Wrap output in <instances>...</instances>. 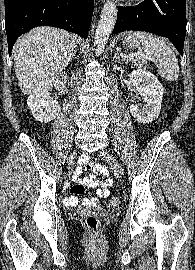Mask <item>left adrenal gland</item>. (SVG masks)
Returning <instances> with one entry per match:
<instances>
[{
  "label": "left adrenal gland",
  "mask_w": 195,
  "mask_h": 270,
  "mask_svg": "<svg viewBox=\"0 0 195 270\" xmlns=\"http://www.w3.org/2000/svg\"><path fill=\"white\" fill-rule=\"evenodd\" d=\"M114 59H115V60H118L119 62H121L120 56H119V54H118L117 51H116L115 54H114Z\"/></svg>",
  "instance_id": "left-adrenal-gland-1"
}]
</instances>
